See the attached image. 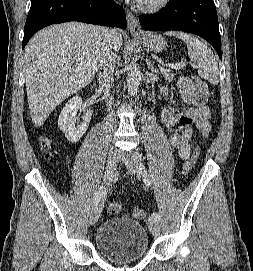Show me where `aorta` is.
<instances>
[{
    "label": "aorta",
    "mask_w": 253,
    "mask_h": 271,
    "mask_svg": "<svg viewBox=\"0 0 253 271\" xmlns=\"http://www.w3.org/2000/svg\"><path fill=\"white\" fill-rule=\"evenodd\" d=\"M141 74L139 65L136 61H132L127 69V89L131 96H135L140 85Z\"/></svg>",
    "instance_id": "1"
}]
</instances>
